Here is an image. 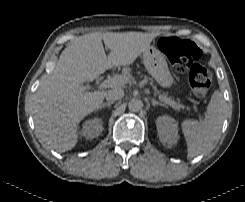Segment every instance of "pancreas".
Instances as JSON below:
<instances>
[{
    "mask_svg": "<svg viewBox=\"0 0 245 202\" xmlns=\"http://www.w3.org/2000/svg\"><path fill=\"white\" fill-rule=\"evenodd\" d=\"M145 80L149 81L151 84L153 83V80L151 78L145 77ZM163 96L166 97L167 95L163 94ZM182 108H184V106L182 104L175 102V108L174 109L179 110V109H182Z\"/></svg>",
    "mask_w": 245,
    "mask_h": 202,
    "instance_id": "pancreas-1",
    "label": "pancreas"
}]
</instances>
